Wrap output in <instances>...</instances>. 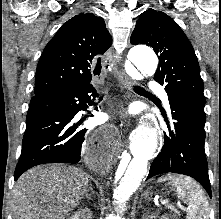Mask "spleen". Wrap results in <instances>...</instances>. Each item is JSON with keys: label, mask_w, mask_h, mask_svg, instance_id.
<instances>
[{"label": "spleen", "mask_w": 221, "mask_h": 219, "mask_svg": "<svg viewBox=\"0 0 221 219\" xmlns=\"http://www.w3.org/2000/svg\"><path fill=\"white\" fill-rule=\"evenodd\" d=\"M161 180H170L178 195L188 205L187 219H209V203L200 185L185 176L168 175Z\"/></svg>", "instance_id": "3e777b00"}]
</instances>
